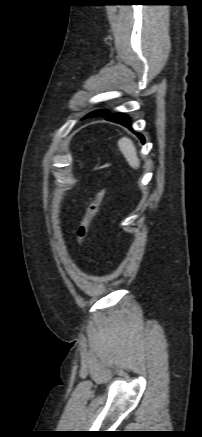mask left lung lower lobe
<instances>
[{
  "instance_id": "obj_1",
  "label": "left lung lower lobe",
  "mask_w": 202,
  "mask_h": 437,
  "mask_svg": "<svg viewBox=\"0 0 202 437\" xmlns=\"http://www.w3.org/2000/svg\"><path fill=\"white\" fill-rule=\"evenodd\" d=\"M103 117L108 121L122 124L128 128H130V126H131L128 115H126L124 113H114V114L108 113ZM136 135L139 137V139H141L142 143H144L143 135H141L140 133H136Z\"/></svg>"
}]
</instances>
